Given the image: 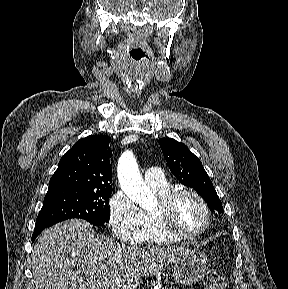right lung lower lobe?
<instances>
[{
    "instance_id": "obj_1",
    "label": "right lung lower lobe",
    "mask_w": 288,
    "mask_h": 289,
    "mask_svg": "<svg viewBox=\"0 0 288 289\" xmlns=\"http://www.w3.org/2000/svg\"><path fill=\"white\" fill-rule=\"evenodd\" d=\"M42 232V230H35V233L32 235V241Z\"/></svg>"
}]
</instances>
